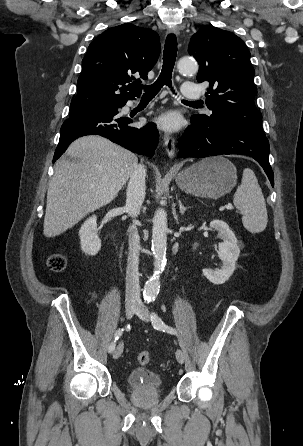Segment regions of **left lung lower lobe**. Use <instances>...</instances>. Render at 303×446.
Listing matches in <instances>:
<instances>
[{
    "instance_id": "0a47b994",
    "label": "left lung lower lobe",
    "mask_w": 303,
    "mask_h": 446,
    "mask_svg": "<svg viewBox=\"0 0 303 446\" xmlns=\"http://www.w3.org/2000/svg\"><path fill=\"white\" fill-rule=\"evenodd\" d=\"M179 145V155L182 158H203L222 154L250 156L260 163L274 186L266 136L247 133L221 123L204 124L191 119V125L184 132Z\"/></svg>"
}]
</instances>
